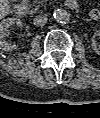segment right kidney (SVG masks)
Returning <instances> with one entry per match:
<instances>
[{
  "instance_id": "ca27d5eb",
  "label": "right kidney",
  "mask_w": 100,
  "mask_h": 118,
  "mask_svg": "<svg viewBox=\"0 0 100 118\" xmlns=\"http://www.w3.org/2000/svg\"><path fill=\"white\" fill-rule=\"evenodd\" d=\"M12 25L21 26L22 22L17 18H7L0 22V49L4 51H14L17 49L16 44H11L7 42V37L9 36L8 28Z\"/></svg>"
}]
</instances>
